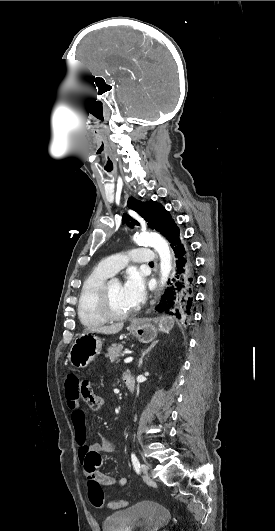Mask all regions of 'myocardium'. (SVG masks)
<instances>
[{
  "mask_svg": "<svg viewBox=\"0 0 275 531\" xmlns=\"http://www.w3.org/2000/svg\"><path fill=\"white\" fill-rule=\"evenodd\" d=\"M111 281L113 280H105L99 288V293L97 297L98 310L108 320L119 321L127 319L133 314V310L125 314H116L112 310L109 292V284L111 283Z\"/></svg>",
  "mask_w": 275,
  "mask_h": 531,
  "instance_id": "myocardium-1",
  "label": "myocardium"
}]
</instances>
